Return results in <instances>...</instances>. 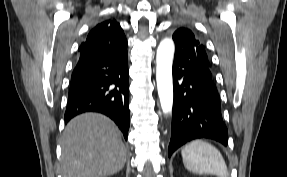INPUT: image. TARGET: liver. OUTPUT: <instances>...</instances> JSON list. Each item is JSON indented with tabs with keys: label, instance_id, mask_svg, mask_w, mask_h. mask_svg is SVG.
Instances as JSON below:
<instances>
[{
	"label": "liver",
	"instance_id": "liver-1",
	"mask_svg": "<svg viewBox=\"0 0 287 177\" xmlns=\"http://www.w3.org/2000/svg\"><path fill=\"white\" fill-rule=\"evenodd\" d=\"M63 177H105L126 162L121 133L106 116L85 113L66 126L61 142Z\"/></svg>",
	"mask_w": 287,
	"mask_h": 177
}]
</instances>
